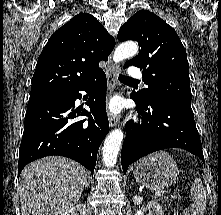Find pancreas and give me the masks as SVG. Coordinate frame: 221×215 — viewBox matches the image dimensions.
<instances>
[{"label": "pancreas", "instance_id": "1", "mask_svg": "<svg viewBox=\"0 0 221 215\" xmlns=\"http://www.w3.org/2000/svg\"><path fill=\"white\" fill-rule=\"evenodd\" d=\"M169 202H170L169 199H167V198L164 199V203H166L165 207H166V206H169Z\"/></svg>", "mask_w": 221, "mask_h": 215}]
</instances>
